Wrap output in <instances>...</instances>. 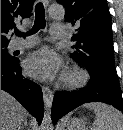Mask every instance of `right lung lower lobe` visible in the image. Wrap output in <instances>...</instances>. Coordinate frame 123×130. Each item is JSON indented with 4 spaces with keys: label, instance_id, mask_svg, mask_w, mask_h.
Listing matches in <instances>:
<instances>
[{
    "label": "right lung lower lobe",
    "instance_id": "98d812e1",
    "mask_svg": "<svg viewBox=\"0 0 123 130\" xmlns=\"http://www.w3.org/2000/svg\"><path fill=\"white\" fill-rule=\"evenodd\" d=\"M1 89L15 97L41 123L44 112L42 90L22 76L19 59L1 57Z\"/></svg>",
    "mask_w": 123,
    "mask_h": 130
}]
</instances>
